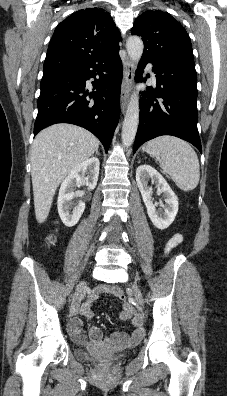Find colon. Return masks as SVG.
Returning a JSON list of instances; mask_svg holds the SVG:
<instances>
[{
    "label": "colon",
    "instance_id": "1",
    "mask_svg": "<svg viewBox=\"0 0 227 396\" xmlns=\"http://www.w3.org/2000/svg\"><path fill=\"white\" fill-rule=\"evenodd\" d=\"M54 240V237L53 236H51L50 238H49V242H52ZM120 299H124V295L121 293V294H119V296H118Z\"/></svg>",
    "mask_w": 227,
    "mask_h": 396
}]
</instances>
